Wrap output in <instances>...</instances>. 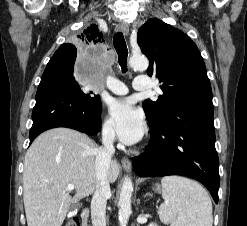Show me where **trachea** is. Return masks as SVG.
<instances>
[{
  "label": "trachea",
  "instance_id": "3493384b",
  "mask_svg": "<svg viewBox=\"0 0 247 226\" xmlns=\"http://www.w3.org/2000/svg\"><path fill=\"white\" fill-rule=\"evenodd\" d=\"M114 48L118 54V63L121 66L122 72H127V56L128 49L122 32H117L113 37Z\"/></svg>",
  "mask_w": 247,
  "mask_h": 226
}]
</instances>
